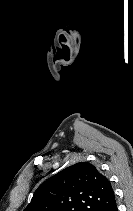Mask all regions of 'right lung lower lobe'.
Here are the masks:
<instances>
[{
  "instance_id": "obj_1",
  "label": "right lung lower lobe",
  "mask_w": 133,
  "mask_h": 211,
  "mask_svg": "<svg viewBox=\"0 0 133 211\" xmlns=\"http://www.w3.org/2000/svg\"><path fill=\"white\" fill-rule=\"evenodd\" d=\"M110 211H118L117 206H114Z\"/></svg>"
}]
</instances>
